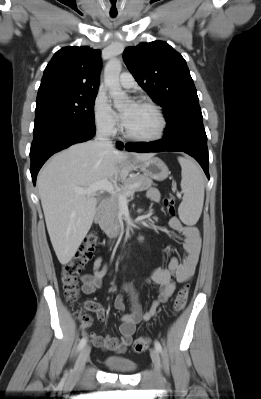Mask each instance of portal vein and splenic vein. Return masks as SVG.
<instances>
[{"label":"portal vein and splenic vein","instance_id":"18ae733b","mask_svg":"<svg viewBox=\"0 0 261 399\" xmlns=\"http://www.w3.org/2000/svg\"><path fill=\"white\" fill-rule=\"evenodd\" d=\"M75 191L79 194H93L96 193L97 191H106L112 195L116 194L115 188L111 182H109L107 179H104L98 183H95L87 188H75ZM133 191L127 192L126 194H120L118 196V200L120 203H126L127 198L131 195H133Z\"/></svg>","mask_w":261,"mask_h":399}]
</instances>
